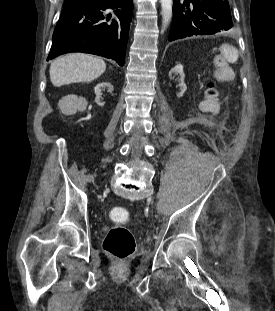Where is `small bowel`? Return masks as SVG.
Masks as SVG:
<instances>
[{"mask_svg":"<svg viewBox=\"0 0 275 311\" xmlns=\"http://www.w3.org/2000/svg\"><path fill=\"white\" fill-rule=\"evenodd\" d=\"M219 56H214L212 60V71L207 74L206 80H201V101L198 102L200 112H205L206 116H218L223 111L220 105V87H225V81H231L234 77L232 71L233 62H240V50L235 46H219Z\"/></svg>","mask_w":275,"mask_h":311,"instance_id":"c3829d8e","label":"small bowel"}]
</instances>
